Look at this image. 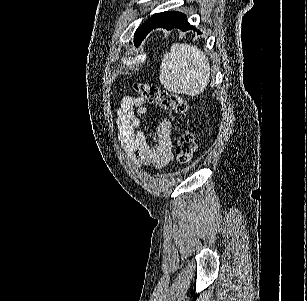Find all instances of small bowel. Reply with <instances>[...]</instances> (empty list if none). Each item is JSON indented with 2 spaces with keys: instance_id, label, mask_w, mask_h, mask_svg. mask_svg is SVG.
<instances>
[{
  "instance_id": "obj_1",
  "label": "small bowel",
  "mask_w": 307,
  "mask_h": 301,
  "mask_svg": "<svg viewBox=\"0 0 307 301\" xmlns=\"http://www.w3.org/2000/svg\"><path fill=\"white\" fill-rule=\"evenodd\" d=\"M146 112L142 97L126 96L116 113L121 146L127 157L137 166L153 165L162 169L172 159L171 122L162 118L152 132L151 143L141 130L138 114Z\"/></svg>"
}]
</instances>
